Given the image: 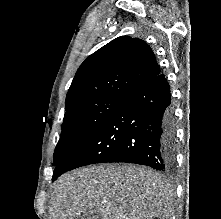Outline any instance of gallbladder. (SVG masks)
<instances>
[{"label":"gallbladder","mask_w":221,"mask_h":219,"mask_svg":"<svg viewBox=\"0 0 221 219\" xmlns=\"http://www.w3.org/2000/svg\"><path fill=\"white\" fill-rule=\"evenodd\" d=\"M79 219H99V213L96 209L88 210L80 215Z\"/></svg>","instance_id":"gallbladder-1"}]
</instances>
